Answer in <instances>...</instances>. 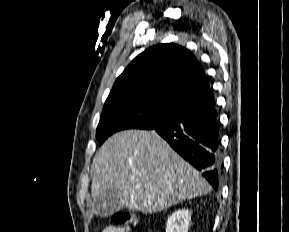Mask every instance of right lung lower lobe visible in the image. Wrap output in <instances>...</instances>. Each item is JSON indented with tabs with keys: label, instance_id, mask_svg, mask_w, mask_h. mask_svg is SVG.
<instances>
[{
	"label": "right lung lower lobe",
	"instance_id": "98d812e1",
	"mask_svg": "<svg viewBox=\"0 0 289 232\" xmlns=\"http://www.w3.org/2000/svg\"><path fill=\"white\" fill-rule=\"evenodd\" d=\"M155 130L170 146L218 189L222 166L215 101L180 109L177 117Z\"/></svg>",
	"mask_w": 289,
	"mask_h": 232
}]
</instances>
